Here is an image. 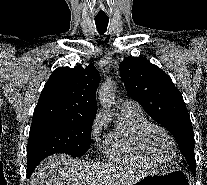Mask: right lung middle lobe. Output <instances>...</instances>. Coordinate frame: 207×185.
<instances>
[{"label":"right lung middle lobe","instance_id":"dd1d6c3e","mask_svg":"<svg viewBox=\"0 0 207 185\" xmlns=\"http://www.w3.org/2000/svg\"><path fill=\"white\" fill-rule=\"evenodd\" d=\"M92 123L67 117L33 116L27 144V174L47 156H83L91 144Z\"/></svg>","mask_w":207,"mask_h":185}]
</instances>
